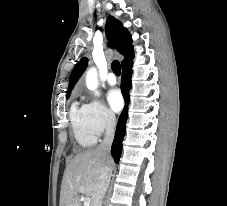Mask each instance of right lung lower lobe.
Wrapping results in <instances>:
<instances>
[{
	"label": "right lung lower lobe",
	"mask_w": 227,
	"mask_h": 206,
	"mask_svg": "<svg viewBox=\"0 0 227 206\" xmlns=\"http://www.w3.org/2000/svg\"><path fill=\"white\" fill-rule=\"evenodd\" d=\"M131 75H132V62L122 67V85L121 89L126 101V105L124 110L120 114L116 133L114 137V141L111 148V154L114 158L115 162L118 163L121 153H122V141L126 133V120L128 118V104H129V90L132 87L131 83Z\"/></svg>",
	"instance_id": "98d812e1"
}]
</instances>
